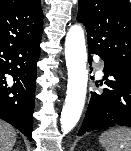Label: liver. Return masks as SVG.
Segmentation results:
<instances>
[{
    "label": "liver",
    "mask_w": 131,
    "mask_h": 151,
    "mask_svg": "<svg viewBox=\"0 0 131 151\" xmlns=\"http://www.w3.org/2000/svg\"><path fill=\"white\" fill-rule=\"evenodd\" d=\"M16 132L12 126L0 120V151H12Z\"/></svg>",
    "instance_id": "liver-1"
}]
</instances>
